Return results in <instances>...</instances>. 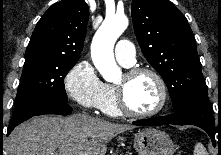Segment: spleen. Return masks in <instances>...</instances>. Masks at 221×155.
Returning a JSON list of instances; mask_svg holds the SVG:
<instances>
[{
  "mask_svg": "<svg viewBox=\"0 0 221 155\" xmlns=\"http://www.w3.org/2000/svg\"><path fill=\"white\" fill-rule=\"evenodd\" d=\"M194 155H208V152L201 143H197L194 148Z\"/></svg>",
  "mask_w": 221,
  "mask_h": 155,
  "instance_id": "3e777b00",
  "label": "spleen"
}]
</instances>
